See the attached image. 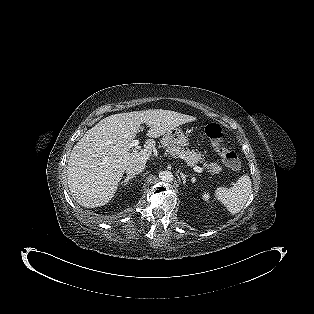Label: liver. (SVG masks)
<instances>
[{"mask_svg":"<svg viewBox=\"0 0 314 314\" xmlns=\"http://www.w3.org/2000/svg\"><path fill=\"white\" fill-rule=\"evenodd\" d=\"M195 120L193 116L162 109L102 119L84 134L70 154L67 178L73 198L86 208L103 206L113 198L126 168L134 162L149 160L155 147L152 139L145 142L141 151H131L129 147L141 124L149 126L148 137L159 138Z\"/></svg>","mask_w":314,"mask_h":314,"instance_id":"6515ba94","label":"liver"}]
</instances>
